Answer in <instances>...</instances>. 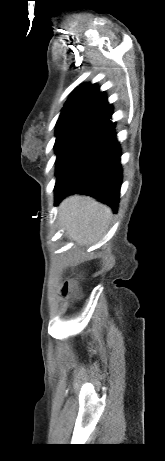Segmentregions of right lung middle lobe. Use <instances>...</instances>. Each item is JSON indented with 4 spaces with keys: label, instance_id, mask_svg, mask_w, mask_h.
I'll list each match as a JSON object with an SVG mask.
<instances>
[{
    "label": "right lung middle lobe",
    "instance_id": "1",
    "mask_svg": "<svg viewBox=\"0 0 165 461\" xmlns=\"http://www.w3.org/2000/svg\"><path fill=\"white\" fill-rule=\"evenodd\" d=\"M109 122L89 115L58 119L56 124L55 152L58 178L83 147Z\"/></svg>",
    "mask_w": 165,
    "mask_h": 461
}]
</instances>
